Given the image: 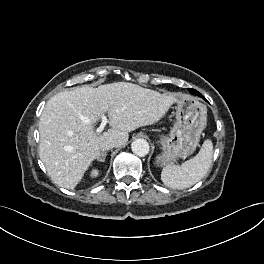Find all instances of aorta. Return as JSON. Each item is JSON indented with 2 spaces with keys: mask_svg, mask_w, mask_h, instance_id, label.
Wrapping results in <instances>:
<instances>
[{
  "mask_svg": "<svg viewBox=\"0 0 264 264\" xmlns=\"http://www.w3.org/2000/svg\"><path fill=\"white\" fill-rule=\"evenodd\" d=\"M149 144L144 139H136L131 144V149L137 156L143 157L149 153Z\"/></svg>",
  "mask_w": 264,
  "mask_h": 264,
  "instance_id": "obj_1",
  "label": "aorta"
}]
</instances>
